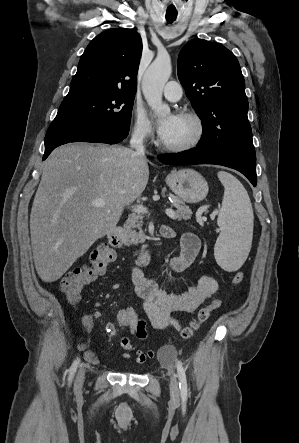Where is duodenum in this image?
Instances as JSON below:
<instances>
[{
  "label": "duodenum",
  "mask_w": 299,
  "mask_h": 443,
  "mask_svg": "<svg viewBox=\"0 0 299 443\" xmlns=\"http://www.w3.org/2000/svg\"><path fill=\"white\" fill-rule=\"evenodd\" d=\"M161 236H165V232L163 229H160ZM108 241L110 245L116 249H121L125 247V242L123 241L121 237V233L118 227H112L108 234ZM151 258V252L147 247H143L138 250V263L140 264H146L149 262Z\"/></svg>",
  "instance_id": "obj_1"
}]
</instances>
